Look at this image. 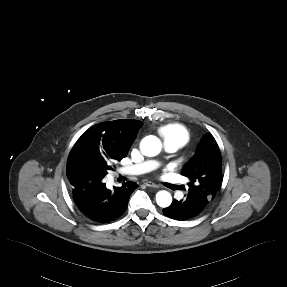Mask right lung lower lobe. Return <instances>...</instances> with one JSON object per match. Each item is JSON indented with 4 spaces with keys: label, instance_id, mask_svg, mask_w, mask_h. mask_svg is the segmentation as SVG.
Returning <instances> with one entry per match:
<instances>
[{
    "label": "right lung lower lobe",
    "instance_id": "1",
    "mask_svg": "<svg viewBox=\"0 0 287 287\" xmlns=\"http://www.w3.org/2000/svg\"><path fill=\"white\" fill-rule=\"evenodd\" d=\"M104 176L94 171H82L69 178L76 206L86 217L99 223L120 217L126 211L131 193L138 187L129 181L111 191L102 181Z\"/></svg>",
    "mask_w": 287,
    "mask_h": 287
}]
</instances>
